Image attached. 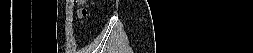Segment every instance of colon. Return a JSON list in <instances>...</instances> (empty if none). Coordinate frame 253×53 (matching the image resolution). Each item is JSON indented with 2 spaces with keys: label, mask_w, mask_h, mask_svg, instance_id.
Returning <instances> with one entry per match:
<instances>
[{
  "label": "colon",
  "mask_w": 253,
  "mask_h": 53,
  "mask_svg": "<svg viewBox=\"0 0 253 53\" xmlns=\"http://www.w3.org/2000/svg\"><path fill=\"white\" fill-rule=\"evenodd\" d=\"M85 14H86L85 9H82V10H81V15H82V16H85Z\"/></svg>",
  "instance_id": "1"
}]
</instances>
